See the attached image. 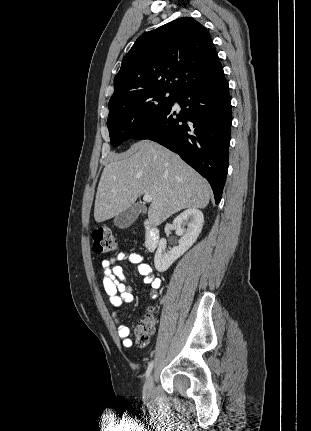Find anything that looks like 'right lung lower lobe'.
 Instances as JSON below:
<instances>
[{
    "label": "right lung lower lobe",
    "instance_id": "obj_1",
    "mask_svg": "<svg viewBox=\"0 0 311 431\" xmlns=\"http://www.w3.org/2000/svg\"><path fill=\"white\" fill-rule=\"evenodd\" d=\"M175 102L181 106L178 114ZM231 122L229 85L222 70L176 93L173 104L132 138L156 141L179 154L209 181L218 204L228 170Z\"/></svg>",
    "mask_w": 311,
    "mask_h": 431
}]
</instances>
